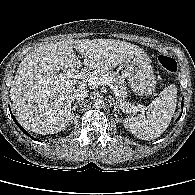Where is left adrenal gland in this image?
I'll list each match as a JSON object with an SVG mask.
<instances>
[{"label": "left adrenal gland", "instance_id": "1", "mask_svg": "<svg viewBox=\"0 0 195 195\" xmlns=\"http://www.w3.org/2000/svg\"><path fill=\"white\" fill-rule=\"evenodd\" d=\"M113 112L115 114L119 113V106H118L117 102L114 103V110H113ZM116 117H117V115H116Z\"/></svg>", "mask_w": 195, "mask_h": 195}]
</instances>
